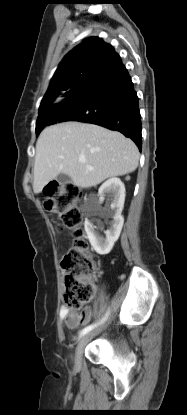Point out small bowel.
I'll list each match as a JSON object with an SVG mask.
<instances>
[{
    "instance_id": "1",
    "label": "small bowel",
    "mask_w": 187,
    "mask_h": 415,
    "mask_svg": "<svg viewBox=\"0 0 187 415\" xmlns=\"http://www.w3.org/2000/svg\"><path fill=\"white\" fill-rule=\"evenodd\" d=\"M60 314L64 321V326L70 330L76 329L80 325L87 324L91 319V310L88 307L80 311H72L67 307H62Z\"/></svg>"
}]
</instances>
